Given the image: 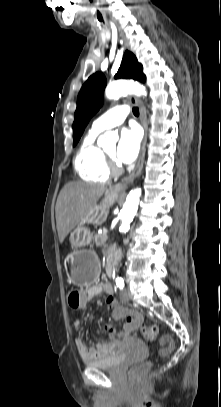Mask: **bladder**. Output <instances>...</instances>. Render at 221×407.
Returning a JSON list of instances; mask_svg holds the SVG:
<instances>
[{
  "label": "bladder",
  "instance_id": "31cf9c89",
  "mask_svg": "<svg viewBox=\"0 0 221 407\" xmlns=\"http://www.w3.org/2000/svg\"><path fill=\"white\" fill-rule=\"evenodd\" d=\"M124 361L125 356L117 350L116 353L110 357L85 361V365L92 368L115 371L121 367Z\"/></svg>",
  "mask_w": 221,
  "mask_h": 407
}]
</instances>
